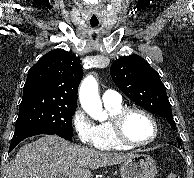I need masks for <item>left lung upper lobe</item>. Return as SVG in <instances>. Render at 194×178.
I'll list each match as a JSON object with an SVG mask.
<instances>
[{"instance_id": "1", "label": "left lung upper lobe", "mask_w": 194, "mask_h": 178, "mask_svg": "<svg viewBox=\"0 0 194 178\" xmlns=\"http://www.w3.org/2000/svg\"><path fill=\"white\" fill-rule=\"evenodd\" d=\"M111 77L122 92L144 109L165 118L173 130L171 105L159 74L142 57L124 56L111 65Z\"/></svg>"}]
</instances>
